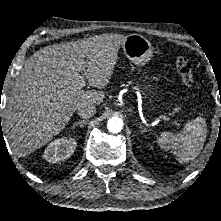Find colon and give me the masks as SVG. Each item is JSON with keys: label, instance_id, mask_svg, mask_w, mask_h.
<instances>
[{"label": "colon", "instance_id": "1", "mask_svg": "<svg viewBox=\"0 0 221 221\" xmlns=\"http://www.w3.org/2000/svg\"><path fill=\"white\" fill-rule=\"evenodd\" d=\"M175 68L178 74L181 76L184 84L188 88H193L195 86V78L192 73V67L189 60L182 55H178L175 58Z\"/></svg>", "mask_w": 221, "mask_h": 221}]
</instances>
